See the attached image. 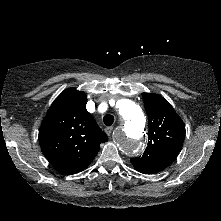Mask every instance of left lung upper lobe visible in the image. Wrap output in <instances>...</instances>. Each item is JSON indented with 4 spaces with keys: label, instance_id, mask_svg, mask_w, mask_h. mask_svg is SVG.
<instances>
[{
    "label": "left lung upper lobe",
    "instance_id": "obj_1",
    "mask_svg": "<svg viewBox=\"0 0 221 221\" xmlns=\"http://www.w3.org/2000/svg\"><path fill=\"white\" fill-rule=\"evenodd\" d=\"M148 115V145L142 156L131 163L147 174L170 165L178 156L185 137V126L173 107L160 95L142 93Z\"/></svg>",
    "mask_w": 221,
    "mask_h": 221
}]
</instances>
